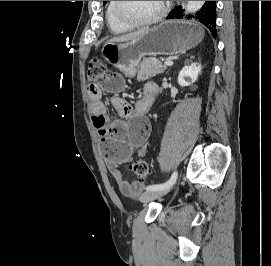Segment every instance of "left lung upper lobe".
<instances>
[{
    "instance_id": "5c2ea615",
    "label": "left lung upper lobe",
    "mask_w": 271,
    "mask_h": 266,
    "mask_svg": "<svg viewBox=\"0 0 271 266\" xmlns=\"http://www.w3.org/2000/svg\"><path fill=\"white\" fill-rule=\"evenodd\" d=\"M107 1H103L104 4H106Z\"/></svg>"
}]
</instances>
